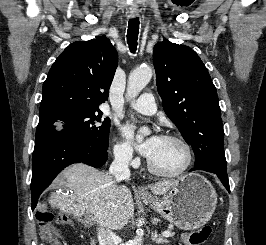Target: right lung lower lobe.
Instances as JSON below:
<instances>
[{
    "label": "right lung lower lobe",
    "instance_id": "right-lung-lower-lobe-1",
    "mask_svg": "<svg viewBox=\"0 0 266 245\" xmlns=\"http://www.w3.org/2000/svg\"><path fill=\"white\" fill-rule=\"evenodd\" d=\"M107 157L106 149L66 133H56L35 141L32 158V210L35 209L40 194L66 166L83 162L99 168L105 164Z\"/></svg>",
    "mask_w": 266,
    "mask_h": 245
}]
</instances>
